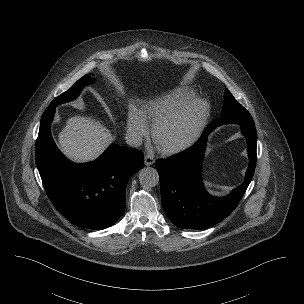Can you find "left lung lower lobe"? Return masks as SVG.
I'll return each mask as SVG.
<instances>
[{
	"label": "left lung lower lobe",
	"instance_id": "left-lung-lower-lobe-1",
	"mask_svg": "<svg viewBox=\"0 0 304 304\" xmlns=\"http://www.w3.org/2000/svg\"><path fill=\"white\" fill-rule=\"evenodd\" d=\"M247 140L249 166L245 181L223 198L212 197L204 188L201 165L207 134L215 126H208L202 137L187 150L167 159H158L161 203L167 217L178 228L202 229L215 225L237 207L250 184L256 166L257 132L255 125L239 124Z\"/></svg>",
	"mask_w": 304,
	"mask_h": 304
}]
</instances>
